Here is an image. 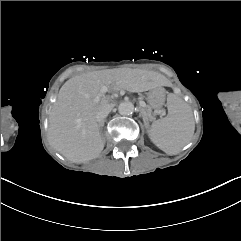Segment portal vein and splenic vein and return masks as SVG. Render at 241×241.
<instances>
[{
  "instance_id": "portal-vein-and-splenic-vein-1",
  "label": "portal vein and splenic vein",
  "mask_w": 241,
  "mask_h": 241,
  "mask_svg": "<svg viewBox=\"0 0 241 241\" xmlns=\"http://www.w3.org/2000/svg\"><path fill=\"white\" fill-rule=\"evenodd\" d=\"M147 105H148L147 102H145V101H144V102H141V103H140V108H141V109H144L145 107H147Z\"/></svg>"
}]
</instances>
